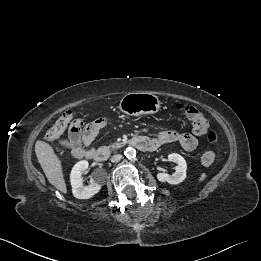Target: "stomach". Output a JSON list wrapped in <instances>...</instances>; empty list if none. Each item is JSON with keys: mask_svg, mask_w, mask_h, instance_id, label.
I'll return each instance as SVG.
<instances>
[{"mask_svg": "<svg viewBox=\"0 0 261 261\" xmlns=\"http://www.w3.org/2000/svg\"><path fill=\"white\" fill-rule=\"evenodd\" d=\"M161 102L156 95L151 93H128L122 97L119 110L130 116L142 114H155L159 111Z\"/></svg>", "mask_w": 261, "mask_h": 261, "instance_id": "obj_1", "label": "stomach"}]
</instances>
